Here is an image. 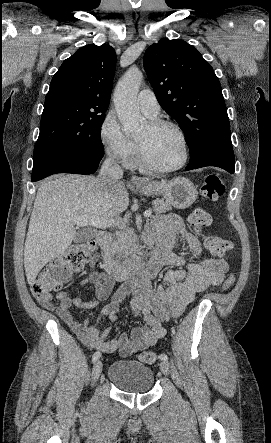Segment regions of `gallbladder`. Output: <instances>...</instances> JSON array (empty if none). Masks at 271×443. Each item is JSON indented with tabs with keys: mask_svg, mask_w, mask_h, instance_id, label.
<instances>
[{
	"mask_svg": "<svg viewBox=\"0 0 271 443\" xmlns=\"http://www.w3.org/2000/svg\"><path fill=\"white\" fill-rule=\"evenodd\" d=\"M94 237V233H87V231H80L79 237H77L75 243H81V241H86V239H91Z\"/></svg>",
	"mask_w": 271,
	"mask_h": 443,
	"instance_id": "gallbladder-1",
	"label": "gallbladder"
}]
</instances>
